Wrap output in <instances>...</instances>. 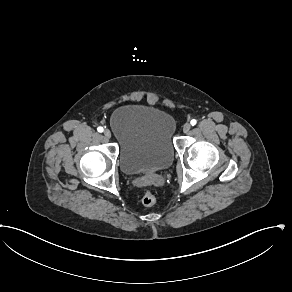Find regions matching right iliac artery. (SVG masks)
Masks as SVG:
<instances>
[{
	"mask_svg": "<svg viewBox=\"0 0 292 292\" xmlns=\"http://www.w3.org/2000/svg\"><path fill=\"white\" fill-rule=\"evenodd\" d=\"M97 130H98V132L101 133V132H103L104 129H103V127L99 126V127L97 128Z\"/></svg>",
	"mask_w": 292,
	"mask_h": 292,
	"instance_id": "82829eb1",
	"label": "right iliac artery"
}]
</instances>
